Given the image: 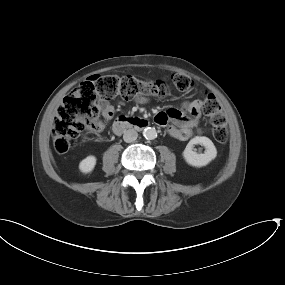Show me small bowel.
I'll use <instances>...</instances> for the list:
<instances>
[{"mask_svg": "<svg viewBox=\"0 0 285 285\" xmlns=\"http://www.w3.org/2000/svg\"><path fill=\"white\" fill-rule=\"evenodd\" d=\"M97 107L105 120L112 119L115 109L106 98L99 97ZM184 108L191 116H183L176 108H170L164 112L168 120L173 123L169 128V134L179 140H187L194 135V127L201 113V103L199 101L186 102Z\"/></svg>", "mask_w": 285, "mask_h": 285, "instance_id": "obj_1", "label": "small bowel"}]
</instances>
